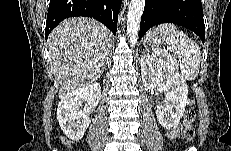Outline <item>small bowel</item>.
<instances>
[{
  "instance_id": "obj_1",
  "label": "small bowel",
  "mask_w": 231,
  "mask_h": 151,
  "mask_svg": "<svg viewBox=\"0 0 231 151\" xmlns=\"http://www.w3.org/2000/svg\"><path fill=\"white\" fill-rule=\"evenodd\" d=\"M167 135L170 138H175L178 135V131L177 130L167 131Z\"/></svg>"
}]
</instances>
